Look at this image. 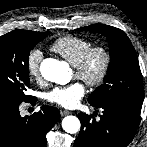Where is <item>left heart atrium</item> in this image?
Listing matches in <instances>:
<instances>
[{
    "instance_id": "39dd6f15",
    "label": "left heart atrium",
    "mask_w": 147,
    "mask_h": 147,
    "mask_svg": "<svg viewBox=\"0 0 147 147\" xmlns=\"http://www.w3.org/2000/svg\"><path fill=\"white\" fill-rule=\"evenodd\" d=\"M85 94V85L74 82L66 86L54 87L45 94L47 101L65 108H73L78 105Z\"/></svg>"
}]
</instances>
